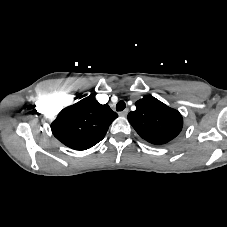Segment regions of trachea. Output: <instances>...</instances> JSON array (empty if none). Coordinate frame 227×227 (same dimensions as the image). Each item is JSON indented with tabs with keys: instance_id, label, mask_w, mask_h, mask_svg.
<instances>
[{
	"instance_id": "1",
	"label": "trachea",
	"mask_w": 227,
	"mask_h": 227,
	"mask_svg": "<svg viewBox=\"0 0 227 227\" xmlns=\"http://www.w3.org/2000/svg\"><path fill=\"white\" fill-rule=\"evenodd\" d=\"M125 107H126L125 102L121 100V101H119V102L117 103V105H116V110H117V111H123V110L125 109Z\"/></svg>"
}]
</instances>
